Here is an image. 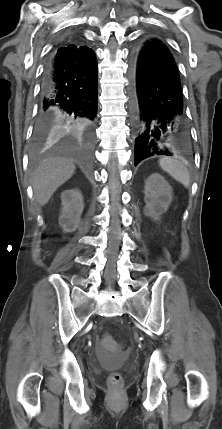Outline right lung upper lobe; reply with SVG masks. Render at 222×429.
I'll list each match as a JSON object with an SVG mask.
<instances>
[{"mask_svg": "<svg viewBox=\"0 0 222 429\" xmlns=\"http://www.w3.org/2000/svg\"><path fill=\"white\" fill-rule=\"evenodd\" d=\"M64 46H67L68 48H71L74 51L81 52V54L85 53L86 56L89 55V53L91 51V49L88 48L87 46H76L74 44H69V45L64 44Z\"/></svg>", "mask_w": 222, "mask_h": 429, "instance_id": "right-lung-upper-lobe-1", "label": "right lung upper lobe"}]
</instances>
